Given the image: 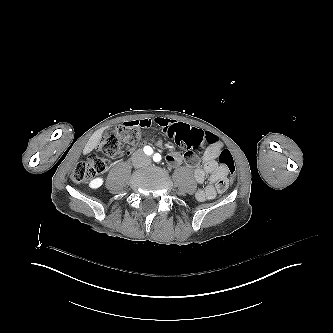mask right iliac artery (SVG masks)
<instances>
[{
    "mask_svg": "<svg viewBox=\"0 0 333 333\" xmlns=\"http://www.w3.org/2000/svg\"><path fill=\"white\" fill-rule=\"evenodd\" d=\"M144 152L147 154V155H151L153 153V150L150 146H146L144 147Z\"/></svg>",
    "mask_w": 333,
    "mask_h": 333,
    "instance_id": "obj_1",
    "label": "right iliac artery"
}]
</instances>
